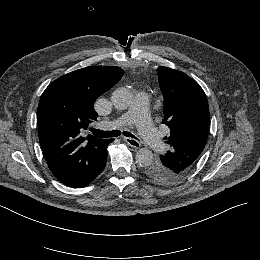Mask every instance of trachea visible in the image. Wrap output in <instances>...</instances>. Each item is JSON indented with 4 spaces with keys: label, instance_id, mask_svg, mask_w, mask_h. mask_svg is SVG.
<instances>
[{
    "label": "trachea",
    "instance_id": "1",
    "mask_svg": "<svg viewBox=\"0 0 260 260\" xmlns=\"http://www.w3.org/2000/svg\"><path fill=\"white\" fill-rule=\"evenodd\" d=\"M91 133L95 136H98L99 138H111V137H117L121 135V132L118 130L102 131L99 129H91ZM123 135L126 137L137 139L133 134L127 131H124Z\"/></svg>",
    "mask_w": 260,
    "mask_h": 260
}]
</instances>
